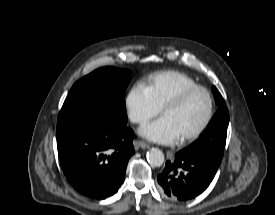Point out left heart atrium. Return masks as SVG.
<instances>
[{
  "label": "left heart atrium",
  "instance_id": "1",
  "mask_svg": "<svg viewBox=\"0 0 275 215\" xmlns=\"http://www.w3.org/2000/svg\"><path fill=\"white\" fill-rule=\"evenodd\" d=\"M140 134L151 141L163 144H171L179 139L175 127L164 116L142 127Z\"/></svg>",
  "mask_w": 275,
  "mask_h": 215
}]
</instances>
